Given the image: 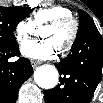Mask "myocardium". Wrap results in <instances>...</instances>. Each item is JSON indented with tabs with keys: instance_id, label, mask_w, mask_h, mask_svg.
Returning a JSON list of instances; mask_svg holds the SVG:
<instances>
[{
	"instance_id": "1",
	"label": "myocardium",
	"mask_w": 103,
	"mask_h": 103,
	"mask_svg": "<svg viewBox=\"0 0 103 103\" xmlns=\"http://www.w3.org/2000/svg\"><path fill=\"white\" fill-rule=\"evenodd\" d=\"M47 26L58 29L65 27L70 28V35L67 41L60 48H58V50L62 53L68 52L77 39L79 29L78 21L73 16H66L49 22Z\"/></svg>"
}]
</instances>
